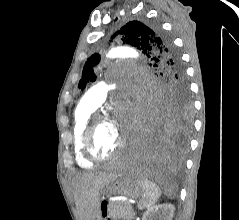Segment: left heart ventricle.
Instances as JSON below:
<instances>
[{"instance_id": "obj_1", "label": "left heart ventricle", "mask_w": 239, "mask_h": 220, "mask_svg": "<svg viewBox=\"0 0 239 220\" xmlns=\"http://www.w3.org/2000/svg\"><path fill=\"white\" fill-rule=\"evenodd\" d=\"M120 137L115 123L101 122L94 131L93 148L98 155H108L116 148Z\"/></svg>"}]
</instances>
